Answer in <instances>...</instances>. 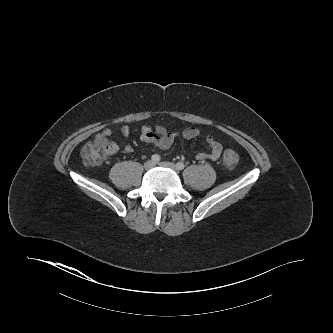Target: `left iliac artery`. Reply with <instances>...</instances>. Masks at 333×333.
Instances as JSON below:
<instances>
[{"mask_svg": "<svg viewBox=\"0 0 333 333\" xmlns=\"http://www.w3.org/2000/svg\"><path fill=\"white\" fill-rule=\"evenodd\" d=\"M176 166H177L178 170H182V169H184V167H185V165H184L183 162H178V163L176 164Z\"/></svg>", "mask_w": 333, "mask_h": 333, "instance_id": "left-iliac-artery-1", "label": "left iliac artery"}]
</instances>
